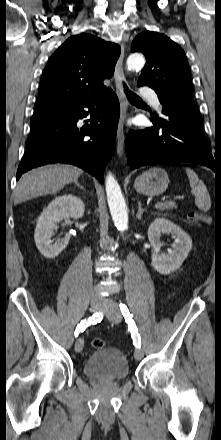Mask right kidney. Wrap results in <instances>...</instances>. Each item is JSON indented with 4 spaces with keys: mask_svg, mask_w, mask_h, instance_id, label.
<instances>
[{
    "mask_svg": "<svg viewBox=\"0 0 221 440\" xmlns=\"http://www.w3.org/2000/svg\"><path fill=\"white\" fill-rule=\"evenodd\" d=\"M85 205L77 196L65 194L56 197L43 210L35 229L34 239L40 253L49 259L57 257L68 245L70 236L52 244L51 236L58 222L70 217L81 218L84 214Z\"/></svg>",
    "mask_w": 221,
    "mask_h": 440,
    "instance_id": "1",
    "label": "right kidney"
}]
</instances>
